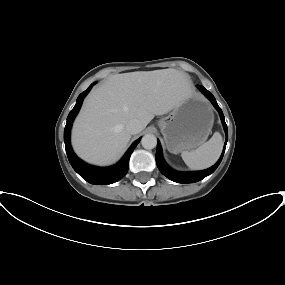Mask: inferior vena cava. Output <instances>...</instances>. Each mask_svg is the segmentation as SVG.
I'll return each mask as SVG.
<instances>
[{
  "instance_id": "1",
  "label": "inferior vena cava",
  "mask_w": 285,
  "mask_h": 285,
  "mask_svg": "<svg viewBox=\"0 0 285 285\" xmlns=\"http://www.w3.org/2000/svg\"><path fill=\"white\" fill-rule=\"evenodd\" d=\"M126 130L130 134H138L142 130L140 121L137 119H132L126 124Z\"/></svg>"
}]
</instances>
